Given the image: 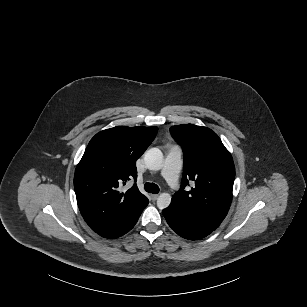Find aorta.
I'll return each instance as SVG.
<instances>
[{
	"mask_svg": "<svg viewBox=\"0 0 307 307\" xmlns=\"http://www.w3.org/2000/svg\"><path fill=\"white\" fill-rule=\"evenodd\" d=\"M164 156L162 151L157 147H152L144 154V163L150 170H159L163 167ZM157 207L159 209L167 208L171 203V196L163 193L157 197Z\"/></svg>",
	"mask_w": 307,
	"mask_h": 307,
	"instance_id": "1",
	"label": "aorta"
}]
</instances>
